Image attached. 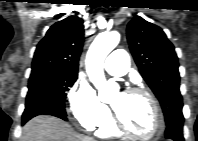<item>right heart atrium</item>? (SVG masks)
Instances as JSON below:
<instances>
[{
    "mask_svg": "<svg viewBox=\"0 0 198 141\" xmlns=\"http://www.w3.org/2000/svg\"><path fill=\"white\" fill-rule=\"evenodd\" d=\"M67 108L72 119L87 130L98 128L110 118L108 107L86 81L78 79L67 94Z\"/></svg>",
    "mask_w": 198,
    "mask_h": 141,
    "instance_id": "d8ad5b80",
    "label": "right heart atrium"
}]
</instances>
